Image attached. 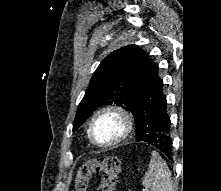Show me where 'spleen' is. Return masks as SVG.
<instances>
[{
	"instance_id": "1",
	"label": "spleen",
	"mask_w": 221,
	"mask_h": 191,
	"mask_svg": "<svg viewBox=\"0 0 221 191\" xmlns=\"http://www.w3.org/2000/svg\"><path fill=\"white\" fill-rule=\"evenodd\" d=\"M142 184L151 191H173L171 172L156 152H152L148 171L143 177Z\"/></svg>"
}]
</instances>
